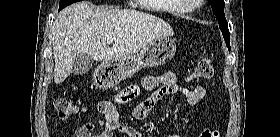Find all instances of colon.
I'll use <instances>...</instances> for the list:
<instances>
[{
	"instance_id": "colon-1",
	"label": "colon",
	"mask_w": 280,
	"mask_h": 137,
	"mask_svg": "<svg viewBox=\"0 0 280 137\" xmlns=\"http://www.w3.org/2000/svg\"><path fill=\"white\" fill-rule=\"evenodd\" d=\"M215 73L214 62L211 58H204L200 60L192 73L194 79H210ZM121 99L124 102H129L134 98V94L128 90H124L120 94ZM54 109L61 119L74 118L78 113V107L75 103L70 100L58 97L53 101ZM219 133L214 130H207L201 133L200 137H218Z\"/></svg>"
}]
</instances>
